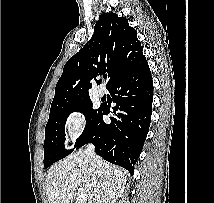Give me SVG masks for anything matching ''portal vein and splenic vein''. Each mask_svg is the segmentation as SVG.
Wrapping results in <instances>:
<instances>
[{
    "instance_id": "portal-vein-and-splenic-vein-1",
    "label": "portal vein and splenic vein",
    "mask_w": 214,
    "mask_h": 203,
    "mask_svg": "<svg viewBox=\"0 0 214 203\" xmlns=\"http://www.w3.org/2000/svg\"><path fill=\"white\" fill-rule=\"evenodd\" d=\"M77 190H78L77 201H78L79 203H84V202H86L87 196H86V194H85V192H84V189L78 188Z\"/></svg>"
}]
</instances>
